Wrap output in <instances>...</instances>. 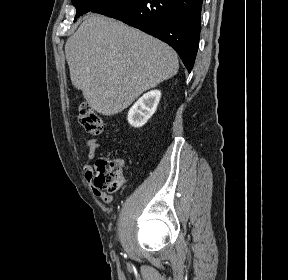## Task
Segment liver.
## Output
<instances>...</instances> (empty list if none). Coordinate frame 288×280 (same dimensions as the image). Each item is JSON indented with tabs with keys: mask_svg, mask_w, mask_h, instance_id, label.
<instances>
[{
	"mask_svg": "<svg viewBox=\"0 0 288 280\" xmlns=\"http://www.w3.org/2000/svg\"><path fill=\"white\" fill-rule=\"evenodd\" d=\"M71 82L89 106L111 116L175 76L176 52L120 21L89 14L65 44Z\"/></svg>",
	"mask_w": 288,
	"mask_h": 280,
	"instance_id": "1",
	"label": "liver"
}]
</instances>
